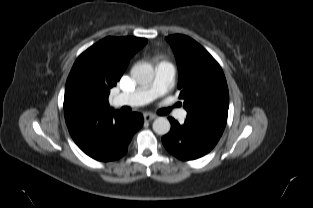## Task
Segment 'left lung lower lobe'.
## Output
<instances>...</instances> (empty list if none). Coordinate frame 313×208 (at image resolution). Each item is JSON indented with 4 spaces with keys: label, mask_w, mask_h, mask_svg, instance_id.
I'll list each match as a JSON object with an SVG mask.
<instances>
[{
    "label": "left lung lower lobe",
    "mask_w": 313,
    "mask_h": 208,
    "mask_svg": "<svg viewBox=\"0 0 313 208\" xmlns=\"http://www.w3.org/2000/svg\"><path fill=\"white\" fill-rule=\"evenodd\" d=\"M170 132L162 142L170 154L181 160H194L209 153L219 141L223 130L212 126L199 125L188 119L179 124L169 118Z\"/></svg>",
    "instance_id": "1"
}]
</instances>
